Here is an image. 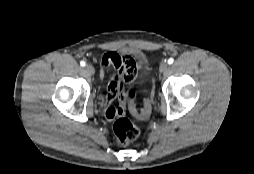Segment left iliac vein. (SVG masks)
I'll return each instance as SVG.
<instances>
[{
    "label": "left iliac vein",
    "instance_id": "obj_1",
    "mask_svg": "<svg viewBox=\"0 0 254 174\" xmlns=\"http://www.w3.org/2000/svg\"><path fill=\"white\" fill-rule=\"evenodd\" d=\"M168 68H169V66H168L167 63H161V65H160V67H159V70H160V72L163 73V72L167 71Z\"/></svg>",
    "mask_w": 254,
    "mask_h": 174
}]
</instances>
